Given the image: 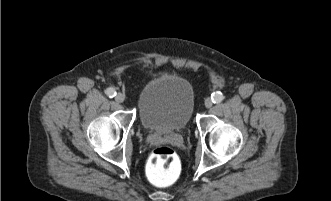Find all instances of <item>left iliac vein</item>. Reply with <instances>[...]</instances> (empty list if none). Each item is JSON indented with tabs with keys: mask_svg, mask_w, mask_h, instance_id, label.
<instances>
[{
	"mask_svg": "<svg viewBox=\"0 0 331 201\" xmlns=\"http://www.w3.org/2000/svg\"><path fill=\"white\" fill-rule=\"evenodd\" d=\"M212 105H213L212 100H211L210 98H207V99L205 100V107H206V108H211Z\"/></svg>",
	"mask_w": 331,
	"mask_h": 201,
	"instance_id": "obj_1",
	"label": "left iliac vein"
}]
</instances>
